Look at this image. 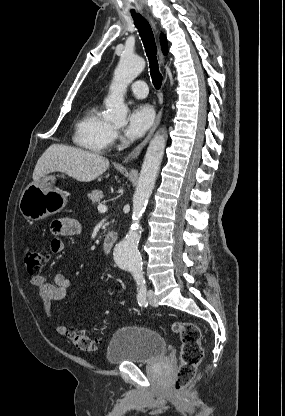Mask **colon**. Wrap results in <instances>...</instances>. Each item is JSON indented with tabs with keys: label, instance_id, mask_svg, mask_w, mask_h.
Instances as JSON below:
<instances>
[{
	"label": "colon",
	"instance_id": "1",
	"mask_svg": "<svg viewBox=\"0 0 285 416\" xmlns=\"http://www.w3.org/2000/svg\"><path fill=\"white\" fill-rule=\"evenodd\" d=\"M45 261L46 256L37 250H27L24 254V263L31 276L40 274ZM171 330L181 339V364L172 387L173 398L179 405L186 406L190 402L188 389L203 358L201 331L195 323L184 321L174 322ZM67 337L80 351L95 353L98 350V341L82 330H69Z\"/></svg>",
	"mask_w": 285,
	"mask_h": 416
}]
</instances>
